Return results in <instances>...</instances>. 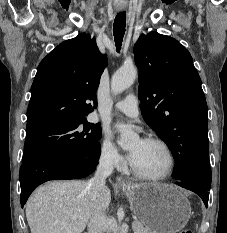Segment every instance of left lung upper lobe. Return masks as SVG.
Listing matches in <instances>:
<instances>
[{
  "label": "left lung upper lobe",
  "instance_id": "left-lung-upper-lobe-1",
  "mask_svg": "<svg viewBox=\"0 0 227 233\" xmlns=\"http://www.w3.org/2000/svg\"><path fill=\"white\" fill-rule=\"evenodd\" d=\"M134 59L143 118L169 146L174 177L210 189L208 109L189 51L174 38L151 32L138 39Z\"/></svg>",
  "mask_w": 227,
  "mask_h": 233
}]
</instances>
